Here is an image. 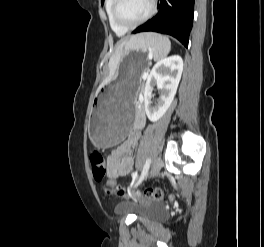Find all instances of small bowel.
<instances>
[{
	"label": "small bowel",
	"instance_id": "c3829d8e",
	"mask_svg": "<svg viewBox=\"0 0 264 247\" xmlns=\"http://www.w3.org/2000/svg\"><path fill=\"white\" fill-rule=\"evenodd\" d=\"M145 124V117L140 114L135 120L133 129L124 142L118 145L108 157L107 176L111 180H117L126 176L133 168L134 159L132 149L138 144L141 138V129Z\"/></svg>",
	"mask_w": 264,
	"mask_h": 247
}]
</instances>
